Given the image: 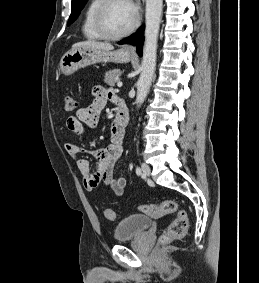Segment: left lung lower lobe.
Instances as JSON below:
<instances>
[{
	"mask_svg": "<svg viewBox=\"0 0 259 283\" xmlns=\"http://www.w3.org/2000/svg\"><path fill=\"white\" fill-rule=\"evenodd\" d=\"M143 41H144V26H142L135 34L131 35L126 39L119 41L118 44L136 45L138 55L142 56Z\"/></svg>",
	"mask_w": 259,
	"mask_h": 283,
	"instance_id": "obj_1",
	"label": "left lung lower lobe"
}]
</instances>
